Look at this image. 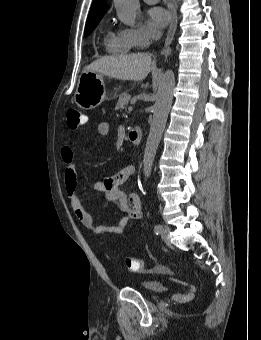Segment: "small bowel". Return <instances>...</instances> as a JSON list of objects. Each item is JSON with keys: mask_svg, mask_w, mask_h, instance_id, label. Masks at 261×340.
Here are the masks:
<instances>
[{"mask_svg": "<svg viewBox=\"0 0 261 340\" xmlns=\"http://www.w3.org/2000/svg\"><path fill=\"white\" fill-rule=\"evenodd\" d=\"M85 119L87 121V118ZM109 131L110 127L107 122L98 124L97 133L100 136H107ZM61 158L66 165L64 178L71 208L76 218L87 230L98 236L105 233L121 234L132 221L139 220L142 217V206L139 196L135 193L127 195L121 189L122 184L135 173L134 166H126L104 180L94 183V189L104 195L105 205L116 203L119 210L124 214L115 225H97L93 217L84 210L78 198L76 165L73 159V150L70 146L62 147Z\"/></svg>", "mask_w": 261, "mask_h": 340, "instance_id": "c3829d8e", "label": "small bowel"}]
</instances>
